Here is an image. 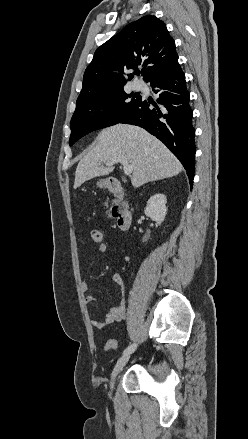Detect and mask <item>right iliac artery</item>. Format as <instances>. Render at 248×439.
<instances>
[{
    "label": "right iliac artery",
    "instance_id": "obj_1",
    "mask_svg": "<svg viewBox=\"0 0 248 439\" xmlns=\"http://www.w3.org/2000/svg\"><path fill=\"white\" fill-rule=\"evenodd\" d=\"M135 348H136V344H131L130 346H128V347L123 351V353H124V354H126V353H131V352H133V351L135 350Z\"/></svg>",
    "mask_w": 248,
    "mask_h": 439
}]
</instances>
